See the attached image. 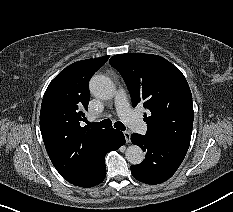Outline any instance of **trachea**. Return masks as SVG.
<instances>
[{
    "mask_svg": "<svg viewBox=\"0 0 233 212\" xmlns=\"http://www.w3.org/2000/svg\"><path fill=\"white\" fill-rule=\"evenodd\" d=\"M90 125L92 127H100V128H109V127H112V122L110 119H105L99 123H90ZM114 127L116 129H119V130H122L124 131L126 129V127L124 126V124L120 121H117L114 123Z\"/></svg>",
    "mask_w": 233,
    "mask_h": 212,
    "instance_id": "1",
    "label": "trachea"
}]
</instances>
